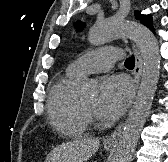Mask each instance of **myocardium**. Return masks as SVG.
<instances>
[{
    "mask_svg": "<svg viewBox=\"0 0 168 162\" xmlns=\"http://www.w3.org/2000/svg\"><path fill=\"white\" fill-rule=\"evenodd\" d=\"M81 107L87 117L94 116V111L92 109L88 108L83 102H81Z\"/></svg>",
    "mask_w": 168,
    "mask_h": 162,
    "instance_id": "myocardium-1",
    "label": "myocardium"
}]
</instances>
